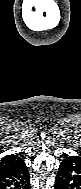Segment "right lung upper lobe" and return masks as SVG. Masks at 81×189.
<instances>
[{"mask_svg":"<svg viewBox=\"0 0 81 189\" xmlns=\"http://www.w3.org/2000/svg\"><path fill=\"white\" fill-rule=\"evenodd\" d=\"M21 160H22L21 158L15 156L13 154L2 158L1 162H0V171L4 170L14 164L19 163Z\"/></svg>","mask_w":81,"mask_h":189,"instance_id":"right-lung-upper-lobe-1","label":"right lung upper lobe"}]
</instances>
